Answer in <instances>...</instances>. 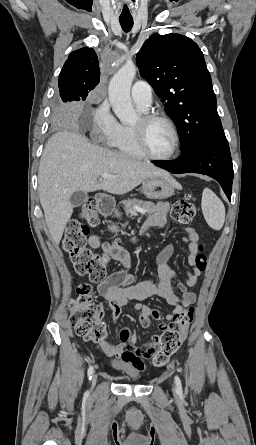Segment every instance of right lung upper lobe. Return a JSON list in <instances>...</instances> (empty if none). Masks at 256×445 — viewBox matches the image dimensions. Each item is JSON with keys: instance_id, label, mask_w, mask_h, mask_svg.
I'll use <instances>...</instances> for the list:
<instances>
[{"instance_id": "right-lung-upper-lobe-1", "label": "right lung upper lobe", "mask_w": 256, "mask_h": 445, "mask_svg": "<svg viewBox=\"0 0 256 445\" xmlns=\"http://www.w3.org/2000/svg\"><path fill=\"white\" fill-rule=\"evenodd\" d=\"M100 81L97 55L92 48L73 51L66 60L58 79L61 93L85 100L88 92Z\"/></svg>"}]
</instances>
